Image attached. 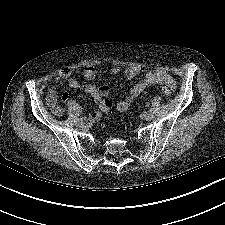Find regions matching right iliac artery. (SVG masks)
Wrapping results in <instances>:
<instances>
[{"label":"right iliac artery","instance_id":"right-iliac-artery-1","mask_svg":"<svg viewBox=\"0 0 225 225\" xmlns=\"http://www.w3.org/2000/svg\"><path fill=\"white\" fill-rule=\"evenodd\" d=\"M80 121H82V119H79V118H78V119H77V122H80Z\"/></svg>","mask_w":225,"mask_h":225}]
</instances>
